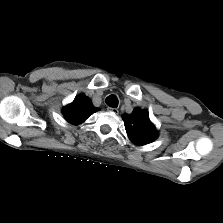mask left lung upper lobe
Listing matches in <instances>:
<instances>
[{"mask_svg": "<svg viewBox=\"0 0 223 223\" xmlns=\"http://www.w3.org/2000/svg\"><path fill=\"white\" fill-rule=\"evenodd\" d=\"M122 118L126 132L135 144L144 145L156 139L157 132L149 120L147 111L136 108L132 114H124Z\"/></svg>", "mask_w": 223, "mask_h": 223, "instance_id": "left-lung-upper-lobe-1", "label": "left lung upper lobe"}]
</instances>
